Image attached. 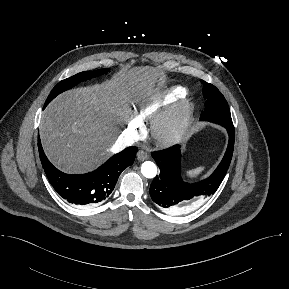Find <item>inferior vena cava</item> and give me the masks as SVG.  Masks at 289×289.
<instances>
[{
    "instance_id": "602c4592",
    "label": "inferior vena cava",
    "mask_w": 289,
    "mask_h": 289,
    "mask_svg": "<svg viewBox=\"0 0 289 289\" xmlns=\"http://www.w3.org/2000/svg\"><path fill=\"white\" fill-rule=\"evenodd\" d=\"M134 144L133 137L123 133L121 134L118 139L116 140L115 144L112 146L113 152H118L119 150L131 146Z\"/></svg>"
}]
</instances>
